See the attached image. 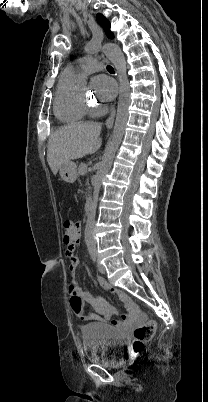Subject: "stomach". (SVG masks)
I'll use <instances>...</instances> for the list:
<instances>
[{"instance_id": "obj_1", "label": "stomach", "mask_w": 208, "mask_h": 402, "mask_svg": "<svg viewBox=\"0 0 208 402\" xmlns=\"http://www.w3.org/2000/svg\"><path fill=\"white\" fill-rule=\"evenodd\" d=\"M59 174L64 182L73 184V182L77 180V166L75 162H66V164H62L61 168H59Z\"/></svg>"}]
</instances>
